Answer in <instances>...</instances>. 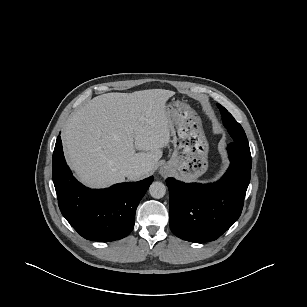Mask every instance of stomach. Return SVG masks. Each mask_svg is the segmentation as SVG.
<instances>
[{"instance_id":"0dacf381","label":"stomach","mask_w":307,"mask_h":307,"mask_svg":"<svg viewBox=\"0 0 307 307\" xmlns=\"http://www.w3.org/2000/svg\"><path fill=\"white\" fill-rule=\"evenodd\" d=\"M166 113L174 147L166 166L185 181L202 176L208 169L209 144L197 113L186 103L173 101Z\"/></svg>"}]
</instances>
